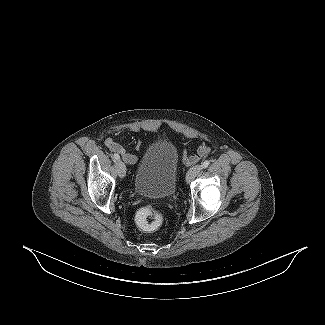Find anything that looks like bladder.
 <instances>
[{
  "label": "bladder",
  "mask_w": 325,
  "mask_h": 325,
  "mask_svg": "<svg viewBox=\"0 0 325 325\" xmlns=\"http://www.w3.org/2000/svg\"><path fill=\"white\" fill-rule=\"evenodd\" d=\"M179 170V153L169 140L149 145L138 164L134 188L142 196L168 198L174 195Z\"/></svg>",
  "instance_id": "bladder-1"
}]
</instances>
